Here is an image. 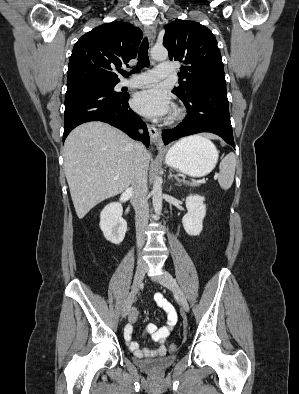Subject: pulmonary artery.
Returning a JSON list of instances; mask_svg holds the SVG:
<instances>
[{"label":"pulmonary artery","mask_w":299,"mask_h":394,"mask_svg":"<svg viewBox=\"0 0 299 394\" xmlns=\"http://www.w3.org/2000/svg\"><path fill=\"white\" fill-rule=\"evenodd\" d=\"M172 74V65L161 63L155 69L136 74L128 80H123L118 87H147L151 84L168 78Z\"/></svg>","instance_id":"pulmonary-artery-1"}]
</instances>
